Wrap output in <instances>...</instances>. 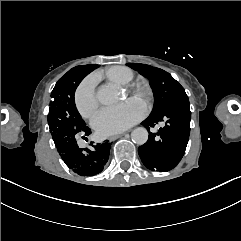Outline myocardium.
<instances>
[{
    "instance_id": "obj_1",
    "label": "myocardium",
    "mask_w": 241,
    "mask_h": 241,
    "mask_svg": "<svg viewBox=\"0 0 241 241\" xmlns=\"http://www.w3.org/2000/svg\"><path fill=\"white\" fill-rule=\"evenodd\" d=\"M140 76V75H139ZM139 79V78H138ZM134 86H135V83H129L128 84V87H130V88H134Z\"/></svg>"
}]
</instances>
